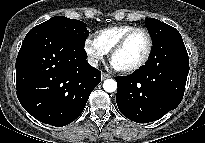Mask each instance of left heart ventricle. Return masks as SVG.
Instances as JSON below:
<instances>
[{"label":"left heart ventricle","instance_id":"b2bd125f","mask_svg":"<svg viewBox=\"0 0 205 143\" xmlns=\"http://www.w3.org/2000/svg\"><path fill=\"white\" fill-rule=\"evenodd\" d=\"M148 47L147 36L143 32L134 33L125 47L114 57V62L120 69L132 67L144 57Z\"/></svg>","mask_w":205,"mask_h":143}]
</instances>
